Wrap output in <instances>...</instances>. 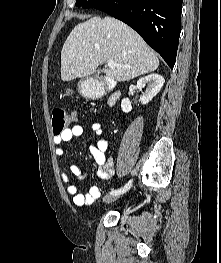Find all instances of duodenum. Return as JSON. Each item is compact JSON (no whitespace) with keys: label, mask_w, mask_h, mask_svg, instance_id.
Returning <instances> with one entry per match:
<instances>
[{"label":"duodenum","mask_w":221,"mask_h":263,"mask_svg":"<svg viewBox=\"0 0 221 263\" xmlns=\"http://www.w3.org/2000/svg\"><path fill=\"white\" fill-rule=\"evenodd\" d=\"M114 85L115 83L112 80L105 81L102 84L98 85L95 88V97H99L104 91H107L113 88ZM119 97H120V92L115 91L114 93H112L108 99V105L110 107L114 106L117 100L119 99Z\"/></svg>","instance_id":"obj_1"}]
</instances>
